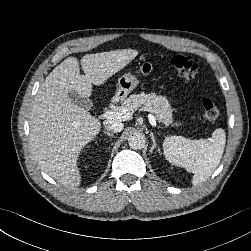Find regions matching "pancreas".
<instances>
[{
    "instance_id": "1",
    "label": "pancreas",
    "mask_w": 251,
    "mask_h": 251,
    "mask_svg": "<svg viewBox=\"0 0 251 251\" xmlns=\"http://www.w3.org/2000/svg\"><path fill=\"white\" fill-rule=\"evenodd\" d=\"M142 107L146 111L155 114L156 119L163 123L165 126L173 122L172 111L167 99L155 93L151 94H133L124 99L121 108L129 109L130 112H135L138 108Z\"/></svg>"
}]
</instances>
